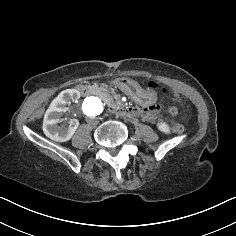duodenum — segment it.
I'll list each match as a JSON object with an SVG mask.
<instances>
[{
  "label": "duodenum",
  "instance_id": "410a0bca",
  "mask_svg": "<svg viewBox=\"0 0 236 236\" xmlns=\"http://www.w3.org/2000/svg\"><path fill=\"white\" fill-rule=\"evenodd\" d=\"M78 91L83 96H89L92 92L90 86H88V85L79 86ZM116 112L121 115L128 116V117L134 116L138 113V111L135 108L130 107V106L118 108V109H116Z\"/></svg>",
  "mask_w": 236,
  "mask_h": 236
}]
</instances>
